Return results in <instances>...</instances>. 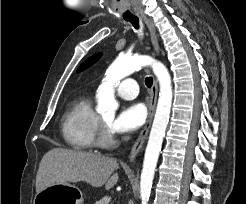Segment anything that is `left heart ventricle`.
Returning <instances> with one entry per match:
<instances>
[{
  "instance_id": "b2bd125f",
  "label": "left heart ventricle",
  "mask_w": 246,
  "mask_h": 204,
  "mask_svg": "<svg viewBox=\"0 0 246 204\" xmlns=\"http://www.w3.org/2000/svg\"><path fill=\"white\" fill-rule=\"evenodd\" d=\"M102 119L110 126L112 123V116H103Z\"/></svg>"
}]
</instances>
